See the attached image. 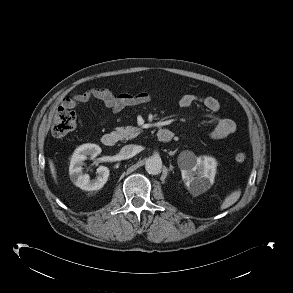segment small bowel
<instances>
[{
    "label": "small bowel",
    "instance_id": "small-bowel-1",
    "mask_svg": "<svg viewBox=\"0 0 293 293\" xmlns=\"http://www.w3.org/2000/svg\"><path fill=\"white\" fill-rule=\"evenodd\" d=\"M148 92H140L137 94L121 93L114 95L107 88H90L86 91L75 92L62 100V107L74 109L81 103H86L91 99L102 101L105 108L113 114L120 113L126 107L138 106L145 104L151 100ZM200 102L207 110V117L215 124L210 132L212 139H224L232 135L236 130L234 121L227 118H221L217 115L220 104L219 101L212 96H198L195 94H186L179 99V106L187 109L194 104ZM106 120L102 121L104 123Z\"/></svg>",
    "mask_w": 293,
    "mask_h": 293
}]
</instances>
